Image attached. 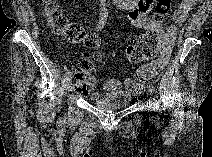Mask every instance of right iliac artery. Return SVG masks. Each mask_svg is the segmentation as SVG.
<instances>
[{
	"label": "right iliac artery",
	"instance_id": "82829eb1",
	"mask_svg": "<svg viewBox=\"0 0 212 157\" xmlns=\"http://www.w3.org/2000/svg\"><path fill=\"white\" fill-rule=\"evenodd\" d=\"M105 22H106V16H102L98 22V25L96 27L97 31L100 30L101 28H103V26L105 25ZM65 78L66 79H70L71 78V72L70 71H67L65 73Z\"/></svg>",
	"mask_w": 212,
	"mask_h": 157
}]
</instances>
